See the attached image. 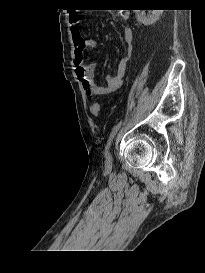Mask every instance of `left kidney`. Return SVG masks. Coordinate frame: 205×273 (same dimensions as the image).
Listing matches in <instances>:
<instances>
[{
  "instance_id": "1",
  "label": "left kidney",
  "mask_w": 205,
  "mask_h": 273,
  "mask_svg": "<svg viewBox=\"0 0 205 273\" xmlns=\"http://www.w3.org/2000/svg\"><path fill=\"white\" fill-rule=\"evenodd\" d=\"M134 12L137 21L147 26L154 24L162 15L163 10H148L149 13L147 15H145L143 10H134Z\"/></svg>"
}]
</instances>
